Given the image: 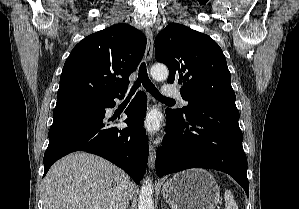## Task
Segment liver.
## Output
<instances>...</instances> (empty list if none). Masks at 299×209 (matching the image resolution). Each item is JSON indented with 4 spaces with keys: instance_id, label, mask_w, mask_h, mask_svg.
Returning a JSON list of instances; mask_svg holds the SVG:
<instances>
[{
    "instance_id": "liver-1",
    "label": "liver",
    "mask_w": 299,
    "mask_h": 209,
    "mask_svg": "<svg viewBox=\"0 0 299 209\" xmlns=\"http://www.w3.org/2000/svg\"><path fill=\"white\" fill-rule=\"evenodd\" d=\"M134 194L128 175L107 160L86 152L57 161L43 182L44 209H119L124 191Z\"/></svg>"
}]
</instances>
